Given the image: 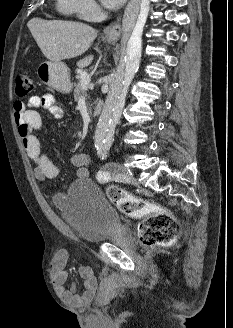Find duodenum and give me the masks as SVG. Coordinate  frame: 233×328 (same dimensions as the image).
Returning <instances> with one entry per match:
<instances>
[{
    "label": "duodenum",
    "instance_id": "obj_1",
    "mask_svg": "<svg viewBox=\"0 0 233 328\" xmlns=\"http://www.w3.org/2000/svg\"><path fill=\"white\" fill-rule=\"evenodd\" d=\"M103 105L104 103L102 101H98L95 105V108H94V114L95 115H98L100 114V112L102 111L103 109Z\"/></svg>",
    "mask_w": 233,
    "mask_h": 328
}]
</instances>
